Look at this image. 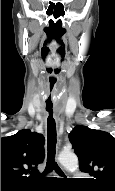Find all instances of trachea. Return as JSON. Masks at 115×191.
<instances>
[{
    "label": "trachea",
    "instance_id": "obj_1",
    "mask_svg": "<svg viewBox=\"0 0 115 191\" xmlns=\"http://www.w3.org/2000/svg\"><path fill=\"white\" fill-rule=\"evenodd\" d=\"M49 116L47 118V163H46V171H53L55 170L59 174L63 175L62 170L55 162V154H56V123L53 118V110L47 109Z\"/></svg>",
    "mask_w": 115,
    "mask_h": 191
}]
</instances>
